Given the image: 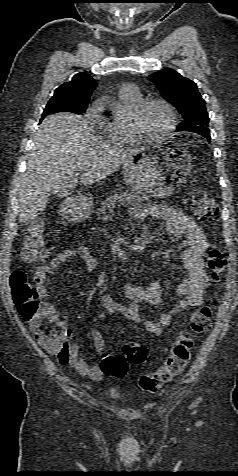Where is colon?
I'll list each match as a JSON object with an SVG mask.
<instances>
[{"mask_svg":"<svg viewBox=\"0 0 238 476\" xmlns=\"http://www.w3.org/2000/svg\"><path fill=\"white\" fill-rule=\"evenodd\" d=\"M192 206L199 219L206 220L217 212L215 201L203 189H195L192 194ZM46 231L43 223L33 221L27 231L22 250V258L27 262L46 260L50 256L45 241ZM228 261L226 250L211 245L207 254V267L214 281L225 271ZM13 300L21 317L28 323L39 342L50 352L64 355L68 349L71 330L67 325L58 324L46 327L52 320V307L39 300L35 286L22 271H16L10 279ZM190 328L195 333H204L211 328V310L207 306H199L189 319ZM190 332L181 333L172 343L163 363L154 371L142 375L138 379L140 389L156 392L164 385L180 376L187 367L193 348ZM147 357L144 345L129 341L123 345L122 354L110 355L103 353L101 368L105 375L112 377L125 376L128 364H142Z\"/></svg>","mask_w":238,"mask_h":476,"instance_id":"obj_1","label":"colon"}]
</instances>
